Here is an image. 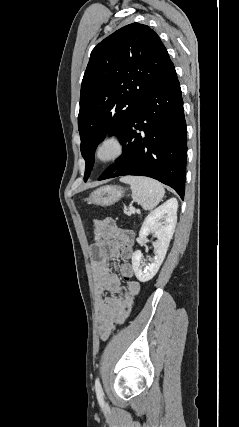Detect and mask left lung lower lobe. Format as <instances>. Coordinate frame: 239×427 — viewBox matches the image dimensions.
Returning a JSON list of instances; mask_svg holds the SVG:
<instances>
[{
    "label": "left lung lower lobe",
    "mask_w": 239,
    "mask_h": 427,
    "mask_svg": "<svg viewBox=\"0 0 239 427\" xmlns=\"http://www.w3.org/2000/svg\"><path fill=\"white\" fill-rule=\"evenodd\" d=\"M121 144V157L98 180L148 176L172 187L184 199L187 131L174 66L140 100Z\"/></svg>",
    "instance_id": "1"
}]
</instances>
